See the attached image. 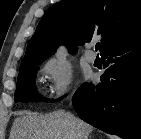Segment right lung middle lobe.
<instances>
[{
	"label": "right lung middle lobe",
	"instance_id": "right-lung-middle-lobe-1",
	"mask_svg": "<svg viewBox=\"0 0 141 139\" xmlns=\"http://www.w3.org/2000/svg\"><path fill=\"white\" fill-rule=\"evenodd\" d=\"M39 65V64H37ZM36 65L20 68L15 91V102H54L38 95L35 87Z\"/></svg>",
	"mask_w": 141,
	"mask_h": 139
}]
</instances>
